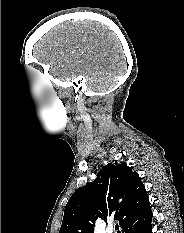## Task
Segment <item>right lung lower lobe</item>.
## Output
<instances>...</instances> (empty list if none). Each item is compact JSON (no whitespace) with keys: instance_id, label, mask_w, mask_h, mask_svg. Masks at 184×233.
<instances>
[{"instance_id":"obj_1","label":"right lung lower lobe","mask_w":184,"mask_h":233,"mask_svg":"<svg viewBox=\"0 0 184 233\" xmlns=\"http://www.w3.org/2000/svg\"><path fill=\"white\" fill-rule=\"evenodd\" d=\"M152 211L150 206L133 219L128 224L122 227V233H151Z\"/></svg>"}]
</instances>
